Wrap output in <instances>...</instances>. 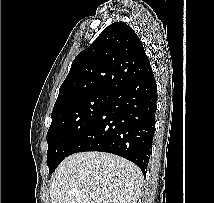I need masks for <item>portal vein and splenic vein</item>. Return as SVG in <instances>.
<instances>
[{"mask_svg":"<svg viewBox=\"0 0 214 203\" xmlns=\"http://www.w3.org/2000/svg\"><path fill=\"white\" fill-rule=\"evenodd\" d=\"M70 193H73V194H76V195H78V194L80 193V190H78V189H75V190L71 191Z\"/></svg>","mask_w":214,"mask_h":203,"instance_id":"portal-vein-and-splenic-vein-1","label":"portal vein and splenic vein"}]
</instances>
